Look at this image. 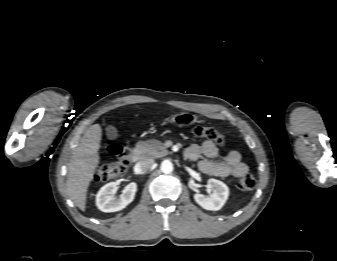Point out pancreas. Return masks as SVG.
Here are the masks:
<instances>
[{
    "instance_id": "obj_1",
    "label": "pancreas",
    "mask_w": 337,
    "mask_h": 261,
    "mask_svg": "<svg viewBox=\"0 0 337 261\" xmlns=\"http://www.w3.org/2000/svg\"><path fill=\"white\" fill-rule=\"evenodd\" d=\"M137 148L145 158H159L169 153L164 144L155 139L138 142Z\"/></svg>"
}]
</instances>
